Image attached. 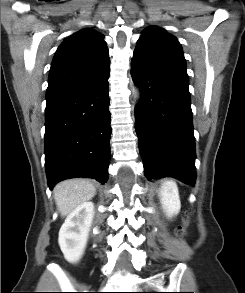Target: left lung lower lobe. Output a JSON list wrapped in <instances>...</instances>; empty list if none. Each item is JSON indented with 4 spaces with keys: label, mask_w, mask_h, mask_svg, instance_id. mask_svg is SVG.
<instances>
[{
    "label": "left lung lower lobe",
    "mask_w": 245,
    "mask_h": 293,
    "mask_svg": "<svg viewBox=\"0 0 245 293\" xmlns=\"http://www.w3.org/2000/svg\"><path fill=\"white\" fill-rule=\"evenodd\" d=\"M131 76L142 93L135 129L146 177H174L194 185L195 138L187 74L134 52Z\"/></svg>",
    "instance_id": "1"
}]
</instances>
